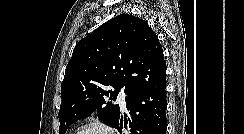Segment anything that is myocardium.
<instances>
[{
	"label": "myocardium",
	"instance_id": "myocardium-1",
	"mask_svg": "<svg viewBox=\"0 0 244 134\" xmlns=\"http://www.w3.org/2000/svg\"><path fill=\"white\" fill-rule=\"evenodd\" d=\"M91 128L99 129L105 134H116L115 130L110 125L98 120L83 123L71 134H79L80 132Z\"/></svg>",
	"mask_w": 244,
	"mask_h": 134
}]
</instances>
